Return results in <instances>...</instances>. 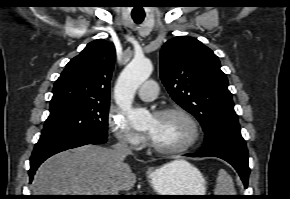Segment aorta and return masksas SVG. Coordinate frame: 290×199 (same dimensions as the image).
I'll return each instance as SVG.
<instances>
[{"instance_id": "obj_1", "label": "aorta", "mask_w": 290, "mask_h": 199, "mask_svg": "<svg viewBox=\"0 0 290 199\" xmlns=\"http://www.w3.org/2000/svg\"><path fill=\"white\" fill-rule=\"evenodd\" d=\"M153 66L145 58H134L122 71L115 85V99L135 129L148 125L150 113L143 108H133L132 101L136 90L151 75Z\"/></svg>"}]
</instances>
